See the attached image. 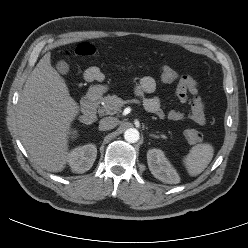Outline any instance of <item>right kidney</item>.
<instances>
[{"label":"right kidney","instance_id":"obj_1","mask_svg":"<svg viewBox=\"0 0 248 248\" xmlns=\"http://www.w3.org/2000/svg\"><path fill=\"white\" fill-rule=\"evenodd\" d=\"M97 156V148L94 144H87L73 149L68 154V164L75 173H84L92 166Z\"/></svg>","mask_w":248,"mask_h":248}]
</instances>
